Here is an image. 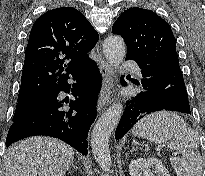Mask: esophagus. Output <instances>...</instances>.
Masks as SVG:
<instances>
[{
  "label": "esophagus",
  "instance_id": "34e87169",
  "mask_svg": "<svg viewBox=\"0 0 205 176\" xmlns=\"http://www.w3.org/2000/svg\"><path fill=\"white\" fill-rule=\"evenodd\" d=\"M99 70L102 75V87L98 96L97 110L102 112L109 104L114 92V79L112 68L103 58L100 59Z\"/></svg>",
  "mask_w": 205,
  "mask_h": 176
}]
</instances>
